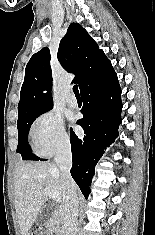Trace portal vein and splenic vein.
<instances>
[{
	"label": "portal vein and splenic vein",
	"mask_w": 155,
	"mask_h": 235,
	"mask_svg": "<svg viewBox=\"0 0 155 235\" xmlns=\"http://www.w3.org/2000/svg\"><path fill=\"white\" fill-rule=\"evenodd\" d=\"M44 190L47 193V195L50 198H52L54 201H56V202H60L61 201V196L57 192H54L53 190H51L49 188H45Z\"/></svg>",
	"instance_id": "1"
}]
</instances>
